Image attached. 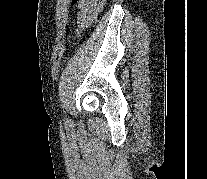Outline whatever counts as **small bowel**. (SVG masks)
Returning <instances> with one entry per match:
<instances>
[{
    "label": "small bowel",
    "instance_id": "c3829d8e",
    "mask_svg": "<svg viewBox=\"0 0 207 179\" xmlns=\"http://www.w3.org/2000/svg\"><path fill=\"white\" fill-rule=\"evenodd\" d=\"M107 0H80L78 4V23L84 29L91 25Z\"/></svg>",
    "mask_w": 207,
    "mask_h": 179
}]
</instances>
